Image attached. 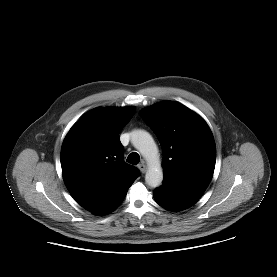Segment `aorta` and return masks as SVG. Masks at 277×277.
Listing matches in <instances>:
<instances>
[{
  "label": "aorta",
  "mask_w": 277,
  "mask_h": 277,
  "mask_svg": "<svg viewBox=\"0 0 277 277\" xmlns=\"http://www.w3.org/2000/svg\"><path fill=\"white\" fill-rule=\"evenodd\" d=\"M131 142L147 162L148 170L145 175L147 185L152 188L160 186L163 181V170L154 139L145 130H135L132 132Z\"/></svg>",
  "instance_id": "obj_1"
}]
</instances>
